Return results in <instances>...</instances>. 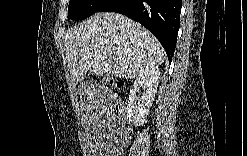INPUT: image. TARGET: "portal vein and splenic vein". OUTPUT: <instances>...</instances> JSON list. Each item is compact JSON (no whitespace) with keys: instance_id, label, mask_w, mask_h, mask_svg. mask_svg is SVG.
Here are the masks:
<instances>
[{"instance_id":"portal-vein-and-splenic-vein-1","label":"portal vein and splenic vein","mask_w":247,"mask_h":156,"mask_svg":"<svg viewBox=\"0 0 247 156\" xmlns=\"http://www.w3.org/2000/svg\"><path fill=\"white\" fill-rule=\"evenodd\" d=\"M114 60H115V61H118V60H119V58H115Z\"/></svg>"}]
</instances>
